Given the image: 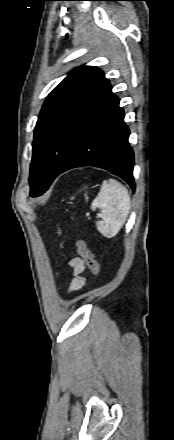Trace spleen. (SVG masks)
<instances>
[{
  "label": "spleen",
  "mask_w": 174,
  "mask_h": 440,
  "mask_svg": "<svg viewBox=\"0 0 174 440\" xmlns=\"http://www.w3.org/2000/svg\"><path fill=\"white\" fill-rule=\"evenodd\" d=\"M131 207L128 190L116 179L103 181L91 209L99 208L102 220L96 222L97 230L105 237L112 238L124 225Z\"/></svg>",
  "instance_id": "1"
}]
</instances>
